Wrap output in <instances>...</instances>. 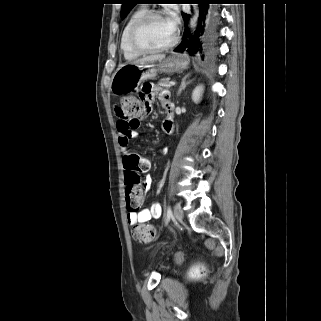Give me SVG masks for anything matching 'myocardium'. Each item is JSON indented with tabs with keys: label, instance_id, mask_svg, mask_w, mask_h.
I'll return each mask as SVG.
<instances>
[{
	"label": "myocardium",
	"instance_id": "f54148a6",
	"mask_svg": "<svg viewBox=\"0 0 321 321\" xmlns=\"http://www.w3.org/2000/svg\"><path fill=\"white\" fill-rule=\"evenodd\" d=\"M156 16L164 17L165 15L160 10H148V11H145L134 22L133 26L131 27L130 33H129V44L134 51H136L140 54H154V53H160V52L170 50L171 48H173L177 44V42L179 40V34L176 29H174V36H173L172 40L164 46L157 47V48H148V47H144L143 45H141L139 43L138 34H139L141 27L144 25V23L147 20H149L152 17H156Z\"/></svg>",
	"mask_w": 321,
	"mask_h": 321
}]
</instances>
